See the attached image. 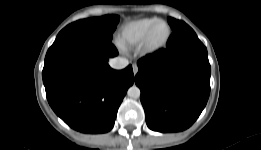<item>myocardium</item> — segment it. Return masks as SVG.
I'll return each mask as SVG.
<instances>
[{
    "mask_svg": "<svg viewBox=\"0 0 261 150\" xmlns=\"http://www.w3.org/2000/svg\"><path fill=\"white\" fill-rule=\"evenodd\" d=\"M160 23H163L167 26V29H168L167 35L161 43L153 44L151 42V36H152L153 30L155 29V27ZM171 34H172V29H171L170 25L168 24V22H166L165 20L159 19L155 23H153L150 26V28L147 30L146 34L144 35V37L140 43V48L146 54L157 53L166 47V45L168 44V42L170 40Z\"/></svg>",
    "mask_w": 261,
    "mask_h": 150,
    "instance_id": "obj_1",
    "label": "myocardium"
}]
</instances>
